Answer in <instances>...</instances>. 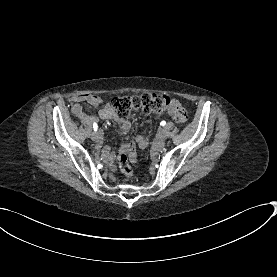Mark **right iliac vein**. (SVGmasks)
I'll return each mask as SVG.
<instances>
[{
  "label": "right iliac vein",
  "instance_id": "right-iliac-vein-1",
  "mask_svg": "<svg viewBox=\"0 0 277 277\" xmlns=\"http://www.w3.org/2000/svg\"><path fill=\"white\" fill-rule=\"evenodd\" d=\"M92 140L96 143L100 141V135H99L98 132H93L92 133Z\"/></svg>",
  "mask_w": 277,
  "mask_h": 277
}]
</instances>
